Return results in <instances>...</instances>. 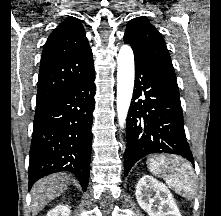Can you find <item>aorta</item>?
Listing matches in <instances>:
<instances>
[{"mask_svg": "<svg viewBox=\"0 0 221 216\" xmlns=\"http://www.w3.org/2000/svg\"><path fill=\"white\" fill-rule=\"evenodd\" d=\"M134 88V55L130 46L123 45L117 56V114L124 128Z\"/></svg>", "mask_w": 221, "mask_h": 216, "instance_id": "762f6f07", "label": "aorta"}]
</instances>
